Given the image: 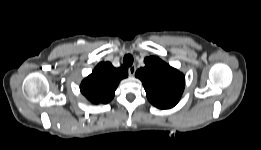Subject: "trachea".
<instances>
[{
  "mask_svg": "<svg viewBox=\"0 0 261 150\" xmlns=\"http://www.w3.org/2000/svg\"><path fill=\"white\" fill-rule=\"evenodd\" d=\"M133 61V56L130 54L125 55L123 58V63L125 66H131L133 64Z\"/></svg>",
  "mask_w": 261,
  "mask_h": 150,
  "instance_id": "1",
  "label": "trachea"
}]
</instances>
